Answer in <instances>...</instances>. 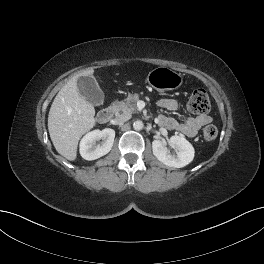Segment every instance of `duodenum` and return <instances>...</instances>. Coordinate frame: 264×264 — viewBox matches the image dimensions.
Listing matches in <instances>:
<instances>
[{
	"mask_svg": "<svg viewBox=\"0 0 264 264\" xmlns=\"http://www.w3.org/2000/svg\"><path fill=\"white\" fill-rule=\"evenodd\" d=\"M113 117V109L111 107L101 110L97 115V121L105 124Z\"/></svg>",
	"mask_w": 264,
	"mask_h": 264,
	"instance_id": "410a0bca",
	"label": "duodenum"
}]
</instances>
